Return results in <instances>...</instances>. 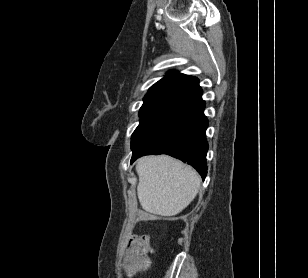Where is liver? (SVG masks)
<instances>
[{"mask_svg":"<svg viewBox=\"0 0 308 278\" xmlns=\"http://www.w3.org/2000/svg\"><path fill=\"white\" fill-rule=\"evenodd\" d=\"M137 195L142 208L161 216H174L196 197L201 178L190 166L167 155L137 161Z\"/></svg>","mask_w":308,"mask_h":278,"instance_id":"obj_1","label":"liver"}]
</instances>
